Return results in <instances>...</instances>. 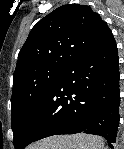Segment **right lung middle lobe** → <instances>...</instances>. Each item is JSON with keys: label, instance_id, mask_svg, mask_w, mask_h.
Here are the masks:
<instances>
[{"label": "right lung middle lobe", "instance_id": "obj_1", "mask_svg": "<svg viewBox=\"0 0 124 149\" xmlns=\"http://www.w3.org/2000/svg\"><path fill=\"white\" fill-rule=\"evenodd\" d=\"M62 69L53 66L39 67L13 82L11 128L14 146L18 144L29 121Z\"/></svg>", "mask_w": 124, "mask_h": 149}]
</instances>
